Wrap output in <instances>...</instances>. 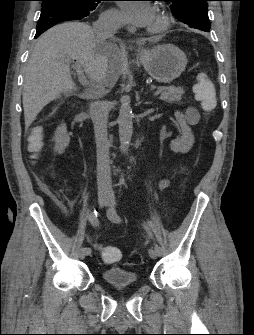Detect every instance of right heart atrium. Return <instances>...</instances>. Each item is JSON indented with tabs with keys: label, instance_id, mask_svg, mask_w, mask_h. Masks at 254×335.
<instances>
[{
	"label": "right heart atrium",
	"instance_id": "right-heart-atrium-1",
	"mask_svg": "<svg viewBox=\"0 0 254 335\" xmlns=\"http://www.w3.org/2000/svg\"><path fill=\"white\" fill-rule=\"evenodd\" d=\"M123 16L120 11L117 9L111 8L107 11H105L100 16V22L102 23H122Z\"/></svg>",
	"mask_w": 254,
	"mask_h": 335
}]
</instances>
